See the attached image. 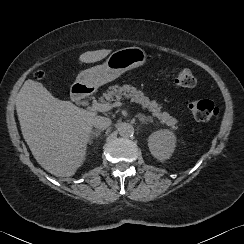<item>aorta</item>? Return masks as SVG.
<instances>
[{
	"instance_id": "1",
	"label": "aorta",
	"mask_w": 244,
	"mask_h": 244,
	"mask_svg": "<svg viewBox=\"0 0 244 244\" xmlns=\"http://www.w3.org/2000/svg\"><path fill=\"white\" fill-rule=\"evenodd\" d=\"M118 131L122 137H130L134 133V127L129 123H122L119 125Z\"/></svg>"
}]
</instances>
